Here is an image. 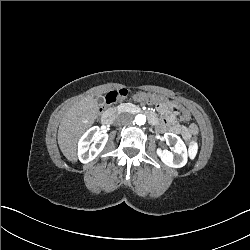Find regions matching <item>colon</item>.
Segmentation results:
<instances>
[{
    "label": "colon",
    "mask_w": 250,
    "mask_h": 250,
    "mask_svg": "<svg viewBox=\"0 0 250 250\" xmlns=\"http://www.w3.org/2000/svg\"><path fill=\"white\" fill-rule=\"evenodd\" d=\"M127 96H128V90L125 89V88L113 90V91H110V92H108L106 94L105 102L107 104H112V103H115L117 101H121V100L125 99ZM146 97L147 96L144 93H139L137 95L138 99H144ZM195 142H196V139H195L194 136H189L188 137V139H187V145L188 146H193Z\"/></svg>",
    "instance_id": "colon-1"
}]
</instances>
